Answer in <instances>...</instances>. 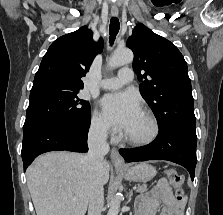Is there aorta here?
I'll use <instances>...</instances> for the list:
<instances>
[{
  "label": "aorta",
  "instance_id": "762f6f07",
  "mask_svg": "<svg viewBox=\"0 0 223 215\" xmlns=\"http://www.w3.org/2000/svg\"><path fill=\"white\" fill-rule=\"evenodd\" d=\"M133 60V52L128 50V48H123V50H115L113 56L109 58L107 62L108 68L110 70H115V68H120V66H125V64H130ZM121 203L120 195L114 197L110 209L107 215H118L119 207Z\"/></svg>",
  "mask_w": 223,
  "mask_h": 215
}]
</instances>
